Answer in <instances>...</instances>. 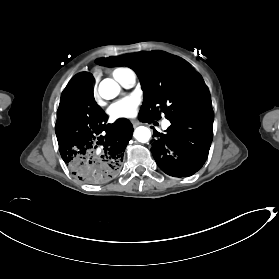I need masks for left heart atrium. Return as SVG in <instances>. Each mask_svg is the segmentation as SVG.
Masks as SVG:
<instances>
[{"mask_svg":"<svg viewBox=\"0 0 279 279\" xmlns=\"http://www.w3.org/2000/svg\"><path fill=\"white\" fill-rule=\"evenodd\" d=\"M139 99L128 96L112 104L108 109V114L112 120L133 118L138 112Z\"/></svg>","mask_w":279,"mask_h":279,"instance_id":"left-heart-atrium-1","label":"left heart atrium"}]
</instances>
